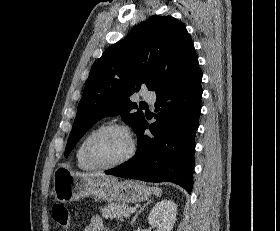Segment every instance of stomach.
Wrapping results in <instances>:
<instances>
[{
	"mask_svg": "<svg viewBox=\"0 0 280 231\" xmlns=\"http://www.w3.org/2000/svg\"><path fill=\"white\" fill-rule=\"evenodd\" d=\"M53 193L56 201L67 203L80 197L104 199V201H121V203H136L144 201L152 195L151 187L132 179H98V177H83L77 175L70 167L59 165L53 173Z\"/></svg>",
	"mask_w": 280,
	"mask_h": 231,
	"instance_id": "1",
	"label": "stomach"
}]
</instances>
